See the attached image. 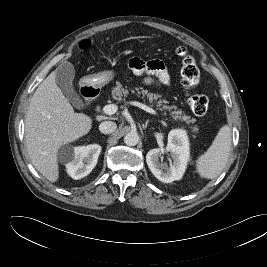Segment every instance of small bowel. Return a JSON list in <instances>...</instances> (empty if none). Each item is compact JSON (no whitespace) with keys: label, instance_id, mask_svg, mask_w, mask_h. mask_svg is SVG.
Wrapping results in <instances>:
<instances>
[{"label":"small bowel","instance_id":"c3829d8e","mask_svg":"<svg viewBox=\"0 0 267 267\" xmlns=\"http://www.w3.org/2000/svg\"><path fill=\"white\" fill-rule=\"evenodd\" d=\"M129 68L137 75L147 74L144 83L147 85H168L170 84V75L164 63L160 60L144 61L133 57L128 61ZM153 76L156 77L153 78Z\"/></svg>","mask_w":267,"mask_h":267}]
</instances>
